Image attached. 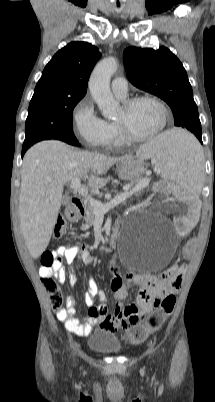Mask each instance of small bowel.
Returning <instances> with one entry per match:
<instances>
[{"label": "small bowel", "instance_id": "1", "mask_svg": "<svg viewBox=\"0 0 215 402\" xmlns=\"http://www.w3.org/2000/svg\"><path fill=\"white\" fill-rule=\"evenodd\" d=\"M56 262L53 267L42 266L39 270L40 276L44 278H56L60 283L68 281L70 286L75 284L74 273L68 274L63 262L71 263L76 257H80L84 264H91L93 256L85 246L73 245L72 249L67 250L64 246L58 247L54 251ZM110 271L114 278L110 288L118 300L127 297L125 281L130 280L133 284L140 287L136 303L125 308H118L113 315L108 314L107 295L99 288L97 282L88 278V291L85 295V303L89 307V314L81 322L77 317V302L69 296L67 298V309L57 314L58 319L64 323L65 328L78 336H87L92 328L99 324L102 328L115 331L119 328H131L135 322L142 319L144 314L149 312L156 298L166 295H173L178 292L184 278V271L173 277H157L147 273H130L125 279L119 275L116 260L109 264ZM95 297L99 298V305H94Z\"/></svg>", "mask_w": 215, "mask_h": 402}]
</instances>
